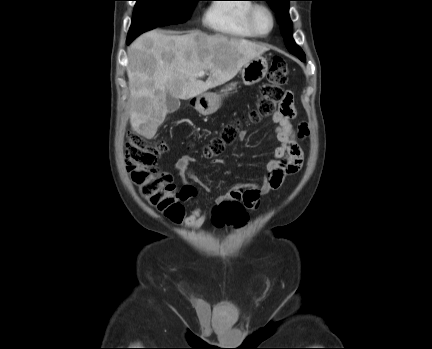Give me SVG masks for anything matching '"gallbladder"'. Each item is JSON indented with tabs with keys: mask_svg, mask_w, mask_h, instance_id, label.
<instances>
[{
	"mask_svg": "<svg viewBox=\"0 0 432 349\" xmlns=\"http://www.w3.org/2000/svg\"><path fill=\"white\" fill-rule=\"evenodd\" d=\"M166 106H167L168 113H173L179 109L180 100L178 98H174L171 95L167 94Z\"/></svg>",
	"mask_w": 432,
	"mask_h": 349,
	"instance_id": "obj_1",
	"label": "gallbladder"
}]
</instances>
